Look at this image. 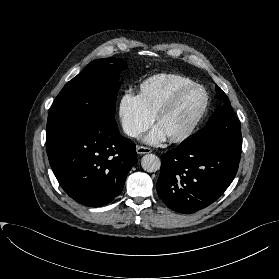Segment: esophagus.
<instances>
[{
    "label": "esophagus",
    "mask_w": 279,
    "mask_h": 279,
    "mask_svg": "<svg viewBox=\"0 0 279 279\" xmlns=\"http://www.w3.org/2000/svg\"><path fill=\"white\" fill-rule=\"evenodd\" d=\"M136 151L138 154L143 155V154H148L151 152V149L148 147H144V146H138L136 148Z\"/></svg>",
    "instance_id": "34e87169"
}]
</instances>
